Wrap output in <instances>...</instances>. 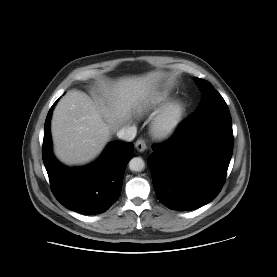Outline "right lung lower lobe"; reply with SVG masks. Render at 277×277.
Wrapping results in <instances>:
<instances>
[{"instance_id":"obj_1","label":"right lung lower lobe","mask_w":277,"mask_h":277,"mask_svg":"<svg viewBox=\"0 0 277 277\" xmlns=\"http://www.w3.org/2000/svg\"><path fill=\"white\" fill-rule=\"evenodd\" d=\"M56 102L48 112L44 126L43 162L56 199L66 208L82 214L103 213L118 199L126 165L133 158V144L111 142L88 166L68 168L54 157L50 119Z\"/></svg>"}]
</instances>
